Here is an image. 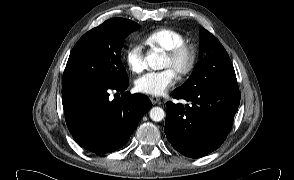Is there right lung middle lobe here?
<instances>
[{
	"label": "right lung middle lobe",
	"mask_w": 294,
	"mask_h": 180,
	"mask_svg": "<svg viewBox=\"0 0 294 180\" xmlns=\"http://www.w3.org/2000/svg\"><path fill=\"white\" fill-rule=\"evenodd\" d=\"M139 25L123 18H112L84 34L75 44L66 64L62 87L80 82L110 86L128 82L120 60L125 38Z\"/></svg>",
	"instance_id": "right-lung-middle-lobe-1"
}]
</instances>
